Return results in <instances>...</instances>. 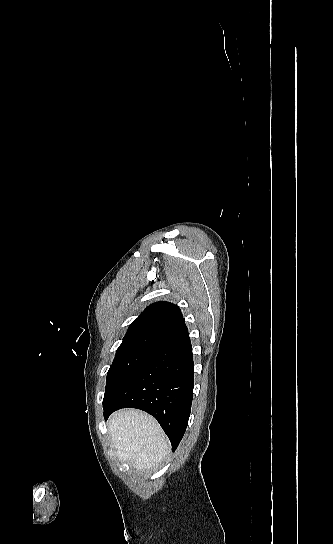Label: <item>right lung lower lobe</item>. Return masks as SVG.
Here are the masks:
<instances>
[{
	"label": "right lung lower lobe",
	"mask_w": 333,
	"mask_h": 544,
	"mask_svg": "<svg viewBox=\"0 0 333 544\" xmlns=\"http://www.w3.org/2000/svg\"><path fill=\"white\" fill-rule=\"evenodd\" d=\"M194 386V362L186 333L152 347L148 357L103 406L105 420L126 407L154 416L172 450L179 445L188 424Z\"/></svg>",
	"instance_id": "obj_1"
}]
</instances>
